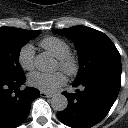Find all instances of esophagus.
I'll use <instances>...</instances> for the list:
<instances>
[{
    "instance_id": "obj_1",
    "label": "esophagus",
    "mask_w": 128,
    "mask_h": 128,
    "mask_svg": "<svg viewBox=\"0 0 128 128\" xmlns=\"http://www.w3.org/2000/svg\"><path fill=\"white\" fill-rule=\"evenodd\" d=\"M40 95H41L42 97H47V98H51V97L53 96L52 93H48V92H44V91H41V92H40Z\"/></svg>"
}]
</instances>
